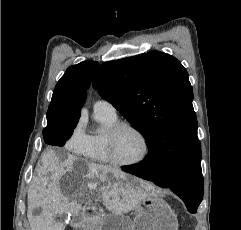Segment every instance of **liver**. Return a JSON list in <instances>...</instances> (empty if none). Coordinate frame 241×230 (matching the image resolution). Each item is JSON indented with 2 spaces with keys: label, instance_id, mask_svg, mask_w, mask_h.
<instances>
[{
  "label": "liver",
  "instance_id": "liver-1",
  "mask_svg": "<svg viewBox=\"0 0 241 230\" xmlns=\"http://www.w3.org/2000/svg\"><path fill=\"white\" fill-rule=\"evenodd\" d=\"M48 160L46 169L39 171L33 178L28 190V211L27 217L31 230H64L65 225L55 222L54 217L61 214L77 215L81 205L70 200V197L80 195L86 188L96 190L97 186L101 193L103 205L114 215H122L134 210L149 196V193L141 185L134 182H126V174L109 166L95 163H87V171L82 175L86 186L82 183L71 195L61 189V179L72 175H79L75 166L76 156L67 154L62 161L53 152L45 157ZM50 172V177L47 174ZM109 175H114L123 181L110 182ZM40 208L39 214L34 211Z\"/></svg>",
  "mask_w": 241,
  "mask_h": 230
}]
</instances>
